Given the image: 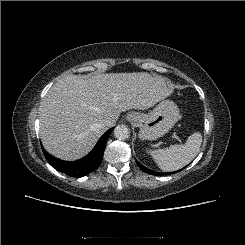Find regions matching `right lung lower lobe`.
I'll use <instances>...</instances> for the list:
<instances>
[{
	"label": "right lung lower lobe",
	"instance_id": "right-lung-lower-lobe-1",
	"mask_svg": "<svg viewBox=\"0 0 245 245\" xmlns=\"http://www.w3.org/2000/svg\"><path fill=\"white\" fill-rule=\"evenodd\" d=\"M113 128L105 132L97 142L94 149L84 158L74 162H64L51 156L42 146V151L47 161L58 171L71 176L82 177L96 170L103 159L107 139Z\"/></svg>",
	"mask_w": 245,
	"mask_h": 245
}]
</instances>
